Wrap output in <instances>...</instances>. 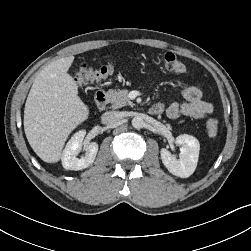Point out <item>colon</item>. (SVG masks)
I'll return each mask as SVG.
<instances>
[{
  "instance_id": "obj_1",
  "label": "colon",
  "mask_w": 251,
  "mask_h": 251,
  "mask_svg": "<svg viewBox=\"0 0 251 251\" xmlns=\"http://www.w3.org/2000/svg\"><path fill=\"white\" fill-rule=\"evenodd\" d=\"M162 65L166 70L177 73H187V67L173 53H166L162 57ZM114 70V64L108 63L105 65L93 66L86 62H82L76 69L74 78L79 86L98 83L106 80ZM207 132L212 138L218 134V122L214 118L207 120Z\"/></svg>"
}]
</instances>
